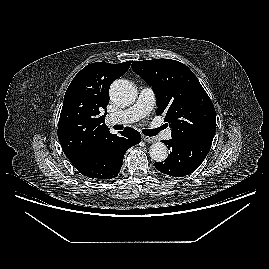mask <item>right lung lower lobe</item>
Instances as JSON below:
<instances>
[{"label": "right lung lower lobe", "instance_id": "98d812e1", "mask_svg": "<svg viewBox=\"0 0 269 269\" xmlns=\"http://www.w3.org/2000/svg\"><path fill=\"white\" fill-rule=\"evenodd\" d=\"M120 134V137L113 134L83 158L71 163L88 178L94 180L115 178L120 172L125 152L141 141L140 133L131 127L125 128Z\"/></svg>", "mask_w": 269, "mask_h": 269}]
</instances>
